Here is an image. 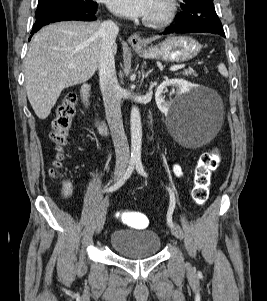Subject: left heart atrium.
<instances>
[{
    "instance_id": "obj_1",
    "label": "left heart atrium",
    "mask_w": 267,
    "mask_h": 301,
    "mask_svg": "<svg viewBox=\"0 0 267 301\" xmlns=\"http://www.w3.org/2000/svg\"><path fill=\"white\" fill-rule=\"evenodd\" d=\"M153 0H107L109 9L125 18L147 17Z\"/></svg>"
}]
</instances>
